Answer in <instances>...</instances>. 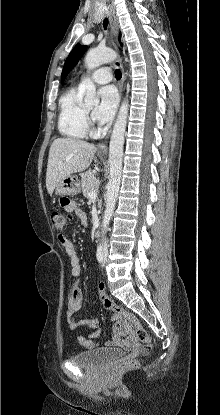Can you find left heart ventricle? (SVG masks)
<instances>
[{"mask_svg":"<svg viewBox=\"0 0 220 415\" xmlns=\"http://www.w3.org/2000/svg\"><path fill=\"white\" fill-rule=\"evenodd\" d=\"M93 110V108H87V111H92Z\"/></svg>","mask_w":220,"mask_h":415,"instance_id":"1","label":"left heart ventricle"}]
</instances>
